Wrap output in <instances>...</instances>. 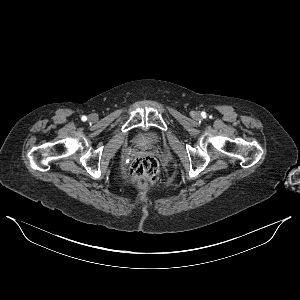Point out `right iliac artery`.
Masks as SVG:
<instances>
[{
	"instance_id": "82829eb1",
	"label": "right iliac artery",
	"mask_w": 300,
	"mask_h": 300,
	"mask_svg": "<svg viewBox=\"0 0 300 300\" xmlns=\"http://www.w3.org/2000/svg\"><path fill=\"white\" fill-rule=\"evenodd\" d=\"M82 121H86L87 120V117L86 116H82Z\"/></svg>"
}]
</instances>
